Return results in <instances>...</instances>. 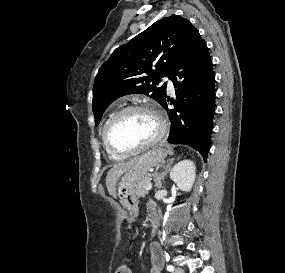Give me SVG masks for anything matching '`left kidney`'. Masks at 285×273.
<instances>
[{"instance_id":"5707ae66","label":"left kidney","mask_w":285,"mask_h":273,"mask_svg":"<svg viewBox=\"0 0 285 273\" xmlns=\"http://www.w3.org/2000/svg\"><path fill=\"white\" fill-rule=\"evenodd\" d=\"M195 165L190 160H183L177 163L170 172V178L182 191L191 190L196 178Z\"/></svg>"}]
</instances>
